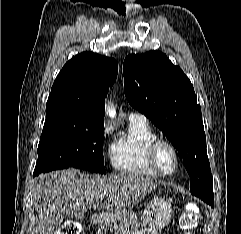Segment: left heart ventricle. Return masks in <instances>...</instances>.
I'll list each match as a JSON object with an SVG mask.
<instances>
[{"instance_id": "1", "label": "left heart ventricle", "mask_w": 241, "mask_h": 234, "mask_svg": "<svg viewBox=\"0 0 241 234\" xmlns=\"http://www.w3.org/2000/svg\"><path fill=\"white\" fill-rule=\"evenodd\" d=\"M159 161L162 166V168L166 171H169L172 169L174 165V159L172 153L166 149L162 148L159 152Z\"/></svg>"}]
</instances>
